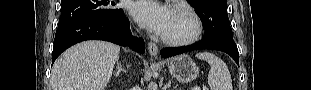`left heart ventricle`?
<instances>
[{"label": "left heart ventricle", "instance_id": "b2bd125f", "mask_svg": "<svg viewBox=\"0 0 311 90\" xmlns=\"http://www.w3.org/2000/svg\"><path fill=\"white\" fill-rule=\"evenodd\" d=\"M192 30L190 20L177 10H173L164 36L183 37L188 35Z\"/></svg>", "mask_w": 311, "mask_h": 90}]
</instances>
